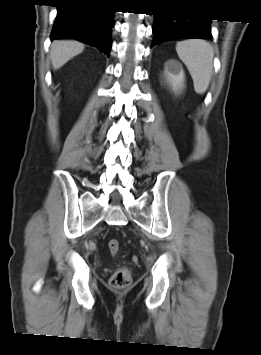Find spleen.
<instances>
[{
  "mask_svg": "<svg viewBox=\"0 0 261 355\" xmlns=\"http://www.w3.org/2000/svg\"><path fill=\"white\" fill-rule=\"evenodd\" d=\"M176 51L180 60L188 68L196 93H205L213 73L212 46L204 40L192 39L178 42Z\"/></svg>",
  "mask_w": 261,
  "mask_h": 355,
  "instance_id": "spleen-1",
  "label": "spleen"
}]
</instances>
